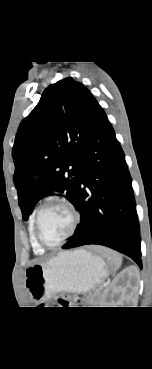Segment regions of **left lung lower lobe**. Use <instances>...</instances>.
<instances>
[{
	"mask_svg": "<svg viewBox=\"0 0 152 369\" xmlns=\"http://www.w3.org/2000/svg\"><path fill=\"white\" fill-rule=\"evenodd\" d=\"M81 214L64 249L88 244L110 247L140 268V228L125 155L100 107L81 155V177L73 204Z\"/></svg>",
	"mask_w": 152,
	"mask_h": 369,
	"instance_id": "left-lung-lower-lobe-1",
	"label": "left lung lower lobe"
}]
</instances>
